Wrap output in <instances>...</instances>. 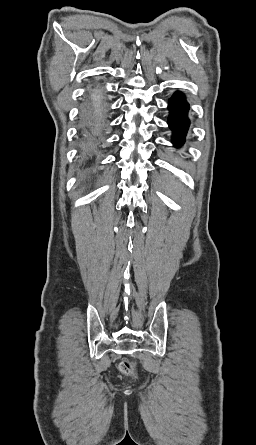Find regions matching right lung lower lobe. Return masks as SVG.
<instances>
[{
  "label": "right lung lower lobe",
  "instance_id": "obj_1",
  "mask_svg": "<svg viewBox=\"0 0 256 445\" xmlns=\"http://www.w3.org/2000/svg\"><path fill=\"white\" fill-rule=\"evenodd\" d=\"M104 113L102 96L97 95L96 91H92L82 107L81 117L86 129L90 130L94 136H96L103 127Z\"/></svg>",
  "mask_w": 256,
  "mask_h": 445
}]
</instances>
